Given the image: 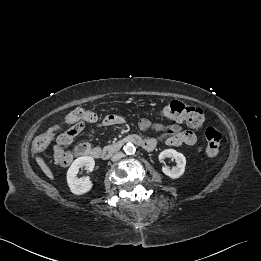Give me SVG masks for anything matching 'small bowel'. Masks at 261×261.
Masks as SVG:
<instances>
[{"label": "small bowel", "mask_w": 261, "mask_h": 261, "mask_svg": "<svg viewBox=\"0 0 261 261\" xmlns=\"http://www.w3.org/2000/svg\"><path fill=\"white\" fill-rule=\"evenodd\" d=\"M125 123L123 117L119 115H106L98 123L100 126H120ZM142 129H152L161 132V135L154 139V142H164L170 146H192L197 142L196 135L189 130H183L179 123L164 125L154 123L149 119H143L140 122ZM64 124H55L48 128V132L59 133L63 130ZM68 144L53 143V159L58 165H68L74 157H98L99 147L91 146L89 143H80L76 146L74 152L65 151L64 147Z\"/></svg>", "instance_id": "c3829d8e"}]
</instances>
